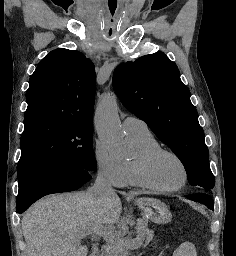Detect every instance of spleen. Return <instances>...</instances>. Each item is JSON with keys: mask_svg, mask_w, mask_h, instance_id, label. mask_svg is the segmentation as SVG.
Instances as JSON below:
<instances>
[{"mask_svg": "<svg viewBox=\"0 0 236 256\" xmlns=\"http://www.w3.org/2000/svg\"><path fill=\"white\" fill-rule=\"evenodd\" d=\"M174 256H197L196 248L191 242H184L176 250Z\"/></svg>", "mask_w": 236, "mask_h": 256, "instance_id": "3e777b00", "label": "spleen"}]
</instances>
